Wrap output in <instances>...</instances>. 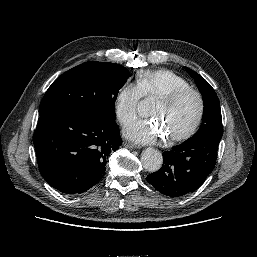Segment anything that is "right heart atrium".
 Instances as JSON below:
<instances>
[{"label": "right heart atrium", "mask_w": 257, "mask_h": 257, "mask_svg": "<svg viewBox=\"0 0 257 257\" xmlns=\"http://www.w3.org/2000/svg\"><path fill=\"white\" fill-rule=\"evenodd\" d=\"M142 96L140 88L133 83L125 84L118 91L115 99V113L121 124L127 125L136 119Z\"/></svg>", "instance_id": "1"}]
</instances>
